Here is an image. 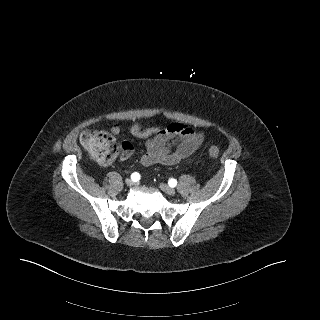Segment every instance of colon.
Listing matches in <instances>:
<instances>
[{
    "instance_id": "1",
    "label": "colon",
    "mask_w": 320,
    "mask_h": 320,
    "mask_svg": "<svg viewBox=\"0 0 320 320\" xmlns=\"http://www.w3.org/2000/svg\"><path fill=\"white\" fill-rule=\"evenodd\" d=\"M80 141L93 158L102 165L113 161L120 152V145L107 131H86L80 135ZM209 155L218 158L220 150L216 145L208 148Z\"/></svg>"
}]
</instances>
